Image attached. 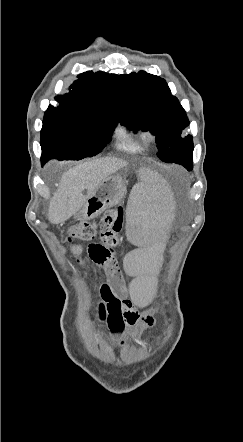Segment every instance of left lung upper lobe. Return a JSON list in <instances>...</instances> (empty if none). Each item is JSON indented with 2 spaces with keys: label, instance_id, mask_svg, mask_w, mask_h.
Instances as JSON below:
<instances>
[{
  "label": "left lung upper lobe",
  "instance_id": "5c2ea615",
  "mask_svg": "<svg viewBox=\"0 0 243 442\" xmlns=\"http://www.w3.org/2000/svg\"><path fill=\"white\" fill-rule=\"evenodd\" d=\"M119 121L127 128L156 135L157 156L192 170V136L182 137L189 120L164 79L145 71L120 76Z\"/></svg>",
  "mask_w": 243,
  "mask_h": 442
}]
</instances>
